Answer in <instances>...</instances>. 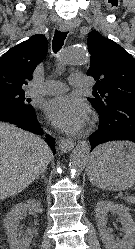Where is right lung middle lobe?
<instances>
[{"instance_id":"dd1d6c3e","label":"right lung middle lobe","mask_w":135,"mask_h":249,"mask_svg":"<svg viewBox=\"0 0 135 249\" xmlns=\"http://www.w3.org/2000/svg\"><path fill=\"white\" fill-rule=\"evenodd\" d=\"M24 93V91H0V101L15 103L27 109L33 108L29 104L30 99H26Z\"/></svg>"}]
</instances>
